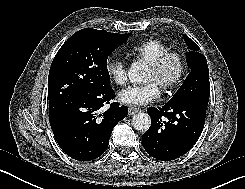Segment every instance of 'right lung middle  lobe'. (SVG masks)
<instances>
[{
  "label": "right lung middle lobe",
  "instance_id": "dd1d6c3e",
  "mask_svg": "<svg viewBox=\"0 0 245 189\" xmlns=\"http://www.w3.org/2000/svg\"><path fill=\"white\" fill-rule=\"evenodd\" d=\"M130 35L92 28L74 33L51 64L48 99L90 93L99 85H110L107 58Z\"/></svg>",
  "mask_w": 245,
  "mask_h": 189
}]
</instances>
